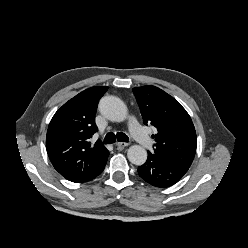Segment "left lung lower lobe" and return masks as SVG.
Masks as SVG:
<instances>
[{
    "instance_id": "0a47b994",
    "label": "left lung lower lobe",
    "mask_w": 248,
    "mask_h": 248,
    "mask_svg": "<svg viewBox=\"0 0 248 248\" xmlns=\"http://www.w3.org/2000/svg\"><path fill=\"white\" fill-rule=\"evenodd\" d=\"M188 169L186 166L163 160L148 153L147 161L138 167V174L149 184L164 188L177 183Z\"/></svg>"
}]
</instances>
